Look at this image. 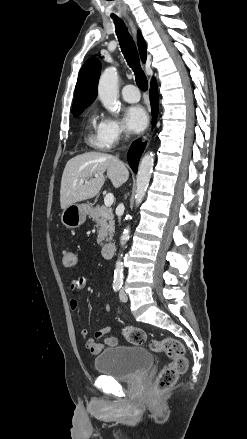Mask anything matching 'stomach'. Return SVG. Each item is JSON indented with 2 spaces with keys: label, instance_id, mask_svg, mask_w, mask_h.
Listing matches in <instances>:
<instances>
[{
  "label": "stomach",
  "instance_id": "obj_1",
  "mask_svg": "<svg viewBox=\"0 0 247 439\" xmlns=\"http://www.w3.org/2000/svg\"><path fill=\"white\" fill-rule=\"evenodd\" d=\"M88 211L87 204H71L63 210L61 222L67 228H78L85 222Z\"/></svg>",
  "mask_w": 247,
  "mask_h": 439
}]
</instances>
